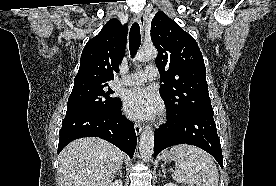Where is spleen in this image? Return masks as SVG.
<instances>
[{
    "label": "spleen",
    "mask_w": 276,
    "mask_h": 186,
    "mask_svg": "<svg viewBox=\"0 0 276 186\" xmlns=\"http://www.w3.org/2000/svg\"><path fill=\"white\" fill-rule=\"evenodd\" d=\"M174 156L175 181L196 186H218V169L212 157L203 150L187 145H176L170 149Z\"/></svg>",
    "instance_id": "spleen-1"
}]
</instances>
